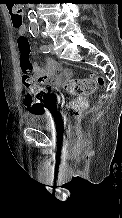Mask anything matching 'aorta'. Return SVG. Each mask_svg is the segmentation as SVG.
<instances>
[{
  "instance_id": "1",
  "label": "aorta",
  "mask_w": 122,
  "mask_h": 218,
  "mask_svg": "<svg viewBox=\"0 0 122 218\" xmlns=\"http://www.w3.org/2000/svg\"><path fill=\"white\" fill-rule=\"evenodd\" d=\"M30 10L28 11V19H29V29L32 31H37L38 29V23H37V15L34 10V4H29Z\"/></svg>"
}]
</instances>
